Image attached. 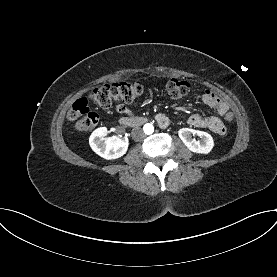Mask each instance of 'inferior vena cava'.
Masks as SVG:
<instances>
[{
    "instance_id": "obj_1",
    "label": "inferior vena cava",
    "mask_w": 277,
    "mask_h": 277,
    "mask_svg": "<svg viewBox=\"0 0 277 277\" xmlns=\"http://www.w3.org/2000/svg\"><path fill=\"white\" fill-rule=\"evenodd\" d=\"M131 134L135 141H142L146 137V134L140 127L133 128Z\"/></svg>"
}]
</instances>
